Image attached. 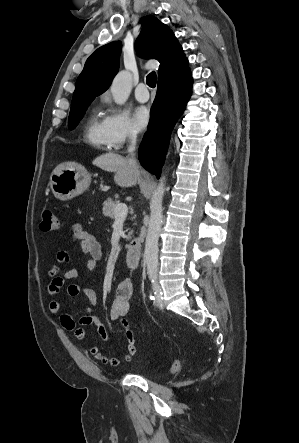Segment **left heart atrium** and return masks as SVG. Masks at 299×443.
Wrapping results in <instances>:
<instances>
[{"instance_id": "obj_1", "label": "left heart atrium", "mask_w": 299, "mask_h": 443, "mask_svg": "<svg viewBox=\"0 0 299 443\" xmlns=\"http://www.w3.org/2000/svg\"><path fill=\"white\" fill-rule=\"evenodd\" d=\"M133 121L138 130L146 128L150 121V112L147 107L139 106L133 112Z\"/></svg>"}]
</instances>
